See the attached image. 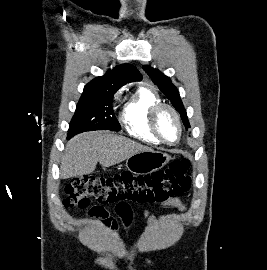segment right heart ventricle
I'll list each match as a JSON object with an SVG mask.
<instances>
[{
  "instance_id": "1",
  "label": "right heart ventricle",
  "mask_w": 267,
  "mask_h": 270,
  "mask_svg": "<svg viewBox=\"0 0 267 270\" xmlns=\"http://www.w3.org/2000/svg\"><path fill=\"white\" fill-rule=\"evenodd\" d=\"M162 103L159 94L151 86L143 84L125 103L121 122L126 132L147 144L159 145L149 126V114L153 106Z\"/></svg>"
}]
</instances>
